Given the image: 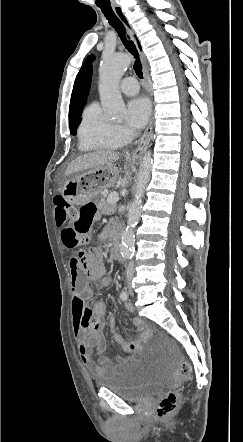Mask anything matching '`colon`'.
Masks as SVG:
<instances>
[{"label": "colon", "mask_w": 243, "mask_h": 442, "mask_svg": "<svg viewBox=\"0 0 243 442\" xmlns=\"http://www.w3.org/2000/svg\"><path fill=\"white\" fill-rule=\"evenodd\" d=\"M55 207V222L57 227H62L61 240L68 249H75L86 240L91 225L97 219L96 206L88 202L79 208L73 207L62 195H56L53 199ZM180 372L184 379L191 374V366L183 359L180 364ZM179 393L169 391L158 402L156 413L160 418L174 414L179 404Z\"/></svg>", "instance_id": "1"}]
</instances>
